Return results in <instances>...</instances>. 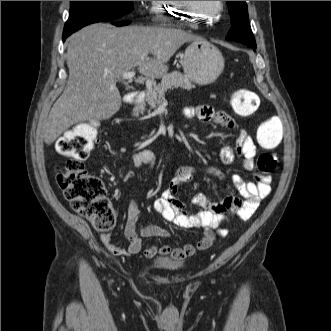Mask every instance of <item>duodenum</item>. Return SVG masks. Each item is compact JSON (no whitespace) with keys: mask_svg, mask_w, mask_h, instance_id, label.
I'll list each match as a JSON object with an SVG mask.
<instances>
[{"mask_svg":"<svg viewBox=\"0 0 331 331\" xmlns=\"http://www.w3.org/2000/svg\"><path fill=\"white\" fill-rule=\"evenodd\" d=\"M143 101V96L140 92H133L129 94L128 104L131 107H134L140 104Z\"/></svg>","mask_w":331,"mask_h":331,"instance_id":"obj_1","label":"duodenum"}]
</instances>
